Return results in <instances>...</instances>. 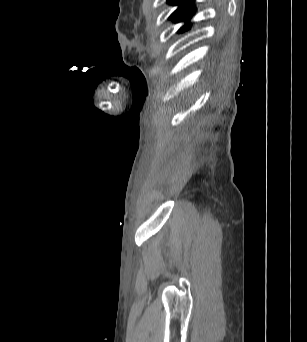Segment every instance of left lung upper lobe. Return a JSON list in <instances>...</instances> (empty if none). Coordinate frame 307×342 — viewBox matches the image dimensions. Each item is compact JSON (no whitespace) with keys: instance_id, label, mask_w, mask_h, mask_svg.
I'll return each instance as SVG.
<instances>
[{"instance_id":"5c2ea615","label":"left lung upper lobe","mask_w":307,"mask_h":342,"mask_svg":"<svg viewBox=\"0 0 307 342\" xmlns=\"http://www.w3.org/2000/svg\"><path fill=\"white\" fill-rule=\"evenodd\" d=\"M171 5H179L177 10H175L169 19L173 22H181L189 20L195 12V8L193 6L194 0H167ZM191 24H185L183 27L179 29V33L184 32L190 28Z\"/></svg>"}]
</instances>
